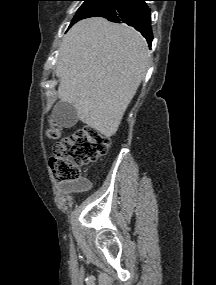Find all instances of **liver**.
Listing matches in <instances>:
<instances>
[{
    "label": "liver",
    "mask_w": 216,
    "mask_h": 285,
    "mask_svg": "<svg viewBox=\"0 0 216 285\" xmlns=\"http://www.w3.org/2000/svg\"><path fill=\"white\" fill-rule=\"evenodd\" d=\"M148 68L146 40L133 28L101 17L76 23L59 48L58 96L80 121L109 138Z\"/></svg>",
    "instance_id": "1"
}]
</instances>
